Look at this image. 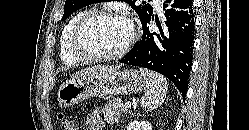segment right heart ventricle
I'll list each match as a JSON object with an SVG mask.
<instances>
[{"label":"right heart ventricle","instance_id":"right-heart-ventricle-1","mask_svg":"<svg viewBox=\"0 0 249 130\" xmlns=\"http://www.w3.org/2000/svg\"><path fill=\"white\" fill-rule=\"evenodd\" d=\"M87 11H80L73 15L68 22L65 24L59 40V53L60 58L62 62L65 65H76L80 62V59L77 58L70 49V41L72 37L73 30L77 24V22L80 20V18L86 14Z\"/></svg>","mask_w":249,"mask_h":130}]
</instances>
